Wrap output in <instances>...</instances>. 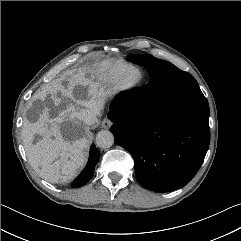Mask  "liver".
<instances>
[{
	"mask_svg": "<svg viewBox=\"0 0 241 241\" xmlns=\"http://www.w3.org/2000/svg\"><path fill=\"white\" fill-rule=\"evenodd\" d=\"M63 80L57 79L49 85V98L46 92H41L32 100L31 107L36 100L41 104L33 107L37 118L34 122L25 119L22 128L30 164L50 183L71 180L85 164L89 139L81 114L95 105L102 107L107 94L99 83L85 78L82 70L72 72L66 86ZM79 86L87 87L84 97L75 94ZM35 134L42 137L33 143Z\"/></svg>",
	"mask_w": 241,
	"mask_h": 241,
	"instance_id": "liver-1",
	"label": "liver"
}]
</instances>
